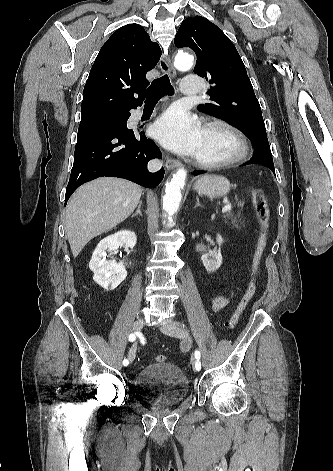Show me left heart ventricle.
I'll return each instance as SVG.
<instances>
[{
	"instance_id": "b2bd125f",
	"label": "left heart ventricle",
	"mask_w": 333,
	"mask_h": 471,
	"mask_svg": "<svg viewBox=\"0 0 333 471\" xmlns=\"http://www.w3.org/2000/svg\"><path fill=\"white\" fill-rule=\"evenodd\" d=\"M233 150V141L224 131L203 129L202 141L196 156L204 159H221L229 156Z\"/></svg>"
}]
</instances>
